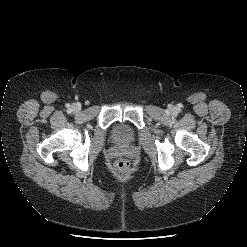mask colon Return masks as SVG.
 <instances>
[{
	"mask_svg": "<svg viewBox=\"0 0 247 247\" xmlns=\"http://www.w3.org/2000/svg\"><path fill=\"white\" fill-rule=\"evenodd\" d=\"M115 169L118 173L121 174L127 173L130 169V163L125 159H120L117 161L115 165Z\"/></svg>",
	"mask_w": 247,
	"mask_h": 247,
	"instance_id": "colon-1",
	"label": "colon"
}]
</instances>
